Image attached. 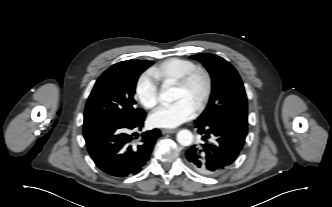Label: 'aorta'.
Returning a JSON list of instances; mask_svg holds the SVG:
<instances>
[{
    "label": "aorta",
    "instance_id": "1",
    "mask_svg": "<svg viewBox=\"0 0 332 207\" xmlns=\"http://www.w3.org/2000/svg\"><path fill=\"white\" fill-rule=\"evenodd\" d=\"M178 98L177 90L174 87H168L164 85L160 93V100L165 102H173ZM177 141L182 146H189L193 142V134L187 130L183 129L177 133Z\"/></svg>",
    "mask_w": 332,
    "mask_h": 207
}]
</instances>
